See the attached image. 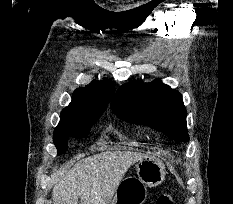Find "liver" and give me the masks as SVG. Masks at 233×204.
I'll return each mask as SVG.
<instances>
[{
    "label": "liver",
    "mask_w": 233,
    "mask_h": 204,
    "mask_svg": "<svg viewBox=\"0 0 233 204\" xmlns=\"http://www.w3.org/2000/svg\"><path fill=\"white\" fill-rule=\"evenodd\" d=\"M145 157L131 151H106L79 160L59 174L53 204H109L125 173Z\"/></svg>",
    "instance_id": "liver-1"
}]
</instances>
